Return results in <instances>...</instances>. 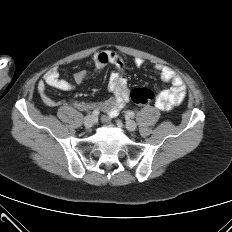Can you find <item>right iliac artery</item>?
Wrapping results in <instances>:
<instances>
[{
  "instance_id": "1",
  "label": "right iliac artery",
  "mask_w": 232,
  "mask_h": 232,
  "mask_svg": "<svg viewBox=\"0 0 232 232\" xmlns=\"http://www.w3.org/2000/svg\"><path fill=\"white\" fill-rule=\"evenodd\" d=\"M98 115H99V111H98V110H94V111L92 112V116H93L94 118L98 117Z\"/></svg>"
}]
</instances>
